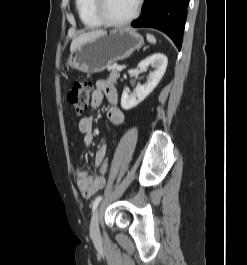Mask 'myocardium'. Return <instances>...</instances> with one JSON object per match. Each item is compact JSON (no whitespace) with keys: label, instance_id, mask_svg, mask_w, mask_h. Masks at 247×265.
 <instances>
[{"label":"myocardium","instance_id":"obj_1","mask_svg":"<svg viewBox=\"0 0 247 265\" xmlns=\"http://www.w3.org/2000/svg\"><path fill=\"white\" fill-rule=\"evenodd\" d=\"M106 0H93V10L96 17L102 24L109 27H123L131 24L138 16L142 8L143 0H137L135 8L130 16L123 20H115L108 16L106 12Z\"/></svg>","mask_w":247,"mask_h":265}]
</instances>
